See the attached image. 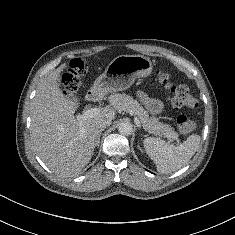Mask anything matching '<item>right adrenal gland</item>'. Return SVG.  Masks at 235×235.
<instances>
[{
	"instance_id": "obj_1",
	"label": "right adrenal gland",
	"mask_w": 235,
	"mask_h": 235,
	"mask_svg": "<svg viewBox=\"0 0 235 235\" xmlns=\"http://www.w3.org/2000/svg\"><path fill=\"white\" fill-rule=\"evenodd\" d=\"M104 131V128L100 129L98 131V135H97V140H96V146L98 147L100 144V137H101V133Z\"/></svg>"
}]
</instances>
